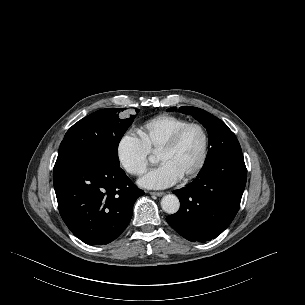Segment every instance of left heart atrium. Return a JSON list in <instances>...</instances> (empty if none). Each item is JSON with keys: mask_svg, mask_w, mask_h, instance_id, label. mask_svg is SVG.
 Segmentation results:
<instances>
[{"mask_svg": "<svg viewBox=\"0 0 305 305\" xmlns=\"http://www.w3.org/2000/svg\"><path fill=\"white\" fill-rule=\"evenodd\" d=\"M182 176L171 165L161 163L158 167L148 172L139 184L149 189H162L177 183Z\"/></svg>", "mask_w": 305, "mask_h": 305, "instance_id": "1", "label": "left heart atrium"}]
</instances>
